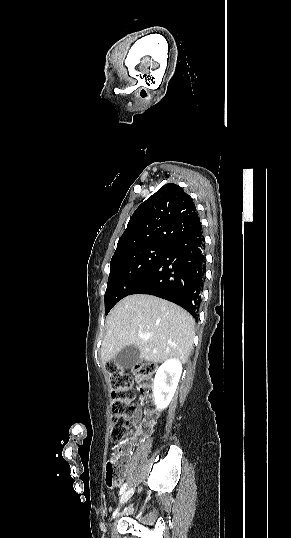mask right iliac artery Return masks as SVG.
Listing matches in <instances>:
<instances>
[{
    "mask_svg": "<svg viewBox=\"0 0 291 538\" xmlns=\"http://www.w3.org/2000/svg\"><path fill=\"white\" fill-rule=\"evenodd\" d=\"M127 483H124L123 486L120 489V494H122L126 489Z\"/></svg>",
    "mask_w": 291,
    "mask_h": 538,
    "instance_id": "82829eb1",
    "label": "right iliac artery"
}]
</instances>
